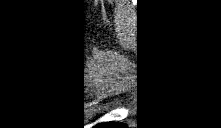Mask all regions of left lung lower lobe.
<instances>
[{
	"label": "left lung lower lobe",
	"instance_id": "left-lung-lower-lobe-1",
	"mask_svg": "<svg viewBox=\"0 0 221 128\" xmlns=\"http://www.w3.org/2000/svg\"><path fill=\"white\" fill-rule=\"evenodd\" d=\"M101 113L95 112L90 114L84 121V117H82L78 121L79 128L89 127V128H129L132 127V123L130 121L120 120L117 123L112 122H101L100 117Z\"/></svg>",
	"mask_w": 221,
	"mask_h": 128
}]
</instances>
